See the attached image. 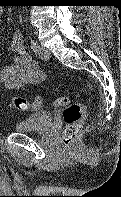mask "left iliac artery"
<instances>
[{
  "label": "left iliac artery",
  "instance_id": "obj_1",
  "mask_svg": "<svg viewBox=\"0 0 121 197\" xmlns=\"http://www.w3.org/2000/svg\"><path fill=\"white\" fill-rule=\"evenodd\" d=\"M30 44H31V49H32L34 52H36V51H37V48H38V43H37L35 40L31 39V40H30Z\"/></svg>",
  "mask_w": 121,
  "mask_h": 197
}]
</instances>
